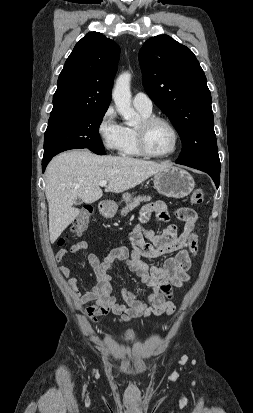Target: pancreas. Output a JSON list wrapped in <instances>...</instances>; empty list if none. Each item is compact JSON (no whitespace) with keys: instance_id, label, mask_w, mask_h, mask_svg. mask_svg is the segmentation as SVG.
<instances>
[{"instance_id":"cf45deb5","label":"pancreas","mask_w":253,"mask_h":413,"mask_svg":"<svg viewBox=\"0 0 253 413\" xmlns=\"http://www.w3.org/2000/svg\"><path fill=\"white\" fill-rule=\"evenodd\" d=\"M151 197L150 196H138L135 197L130 203H128L125 208H123L121 210V215L122 216H126L128 214V212H130L131 210H133L134 208H136L137 206L140 205L141 202H145V201H150Z\"/></svg>"}]
</instances>
